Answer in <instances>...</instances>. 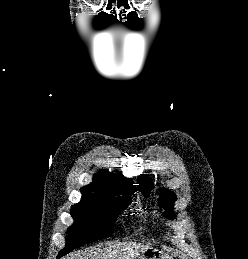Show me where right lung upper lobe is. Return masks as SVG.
I'll list each match as a JSON object with an SVG mask.
<instances>
[{
	"mask_svg": "<svg viewBox=\"0 0 248 259\" xmlns=\"http://www.w3.org/2000/svg\"><path fill=\"white\" fill-rule=\"evenodd\" d=\"M132 180L102 171L94 175L92 183L81 188L82 196H120L121 193L135 190Z\"/></svg>",
	"mask_w": 248,
	"mask_h": 259,
	"instance_id": "1",
	"label": "right lung upper lobe"
}]
</instances>
